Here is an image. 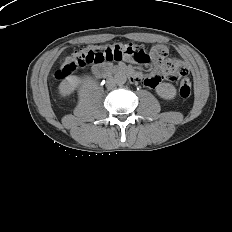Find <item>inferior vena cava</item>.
<instances>
[{"label":"inferior vena cava","mask_w":232,"mask_h":232,"mask_svg":"<svg viewBox=\"0 0 232 232\" xmlns=\"http://www.w3.org/2000/svg\"><path fill=\"white\" fill-rule=\"evenodd\" d=\"M106 86L108 89H113L115 87V81L113 78H109L106 82Z\"/></svg>","instance_id":"1"}]
</instances>
